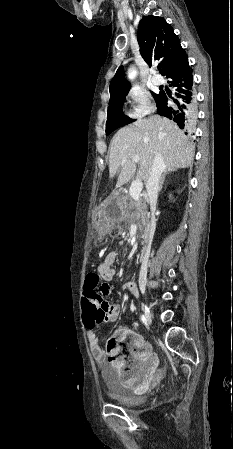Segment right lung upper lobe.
Here are the masks:
<instances>
[{"instance_id":"obj_1","label":"right lung upper lobe","mask_w":233,"mask_h":449,"mask_svg":"<svg viewBox=\"0 0 233 449\" xmlns=\"http://www.w3.org/2000/svg\"><path fill=\"white\" fill-rule=\"evenodd\" d=\"M137 39L143 59L150 65L152 60L160 61L163 75L168 76L188 61L178 36L162 17H143L139 23ZM129 89L130 83L124 77L123 67H120L110 83V98L127 93Z\"/></svg>"}]
</instances>
